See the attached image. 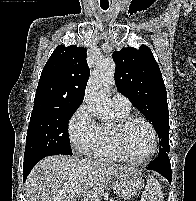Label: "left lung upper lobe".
Wrapping results in <instances>:
<instances>
[{
  "label": "left lung upper lobe",
  "mask_w": 196,
  "mask_h": 201,
  "mask_svg": "<svg viewBox=\"0 0 196 201\" xmlns=\"http://www.w3.org/2000/svg\"><path fill=\"white\" fill-rule=\"evenodd\" d=\"M115 83L120 93L153 123L159 136V155L169 153L167 92L160 68L146 45L115 51Z\"/></svg>",
  "instance_id": "5c2ea615"
}]
</instances>
